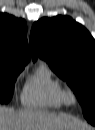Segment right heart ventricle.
<instances>
[{
	"instance_id": "obj_1",
	"label": "right heart ventricle",
	"mask_w": 95,
	"mask_h": 130,
	"mask_svg": "<svg viewBox=\"0 0 95 130\" xmlns=\"http://www.w3.org/2000/svg\"><path fill=\"white\" fill-rule=\"evenodd\" d=\"M63 91L61 82L51 68L46 64H40L27 79L21 101L26 107L57 109L66 104Z\"/></svg>"
}]
</instances>
